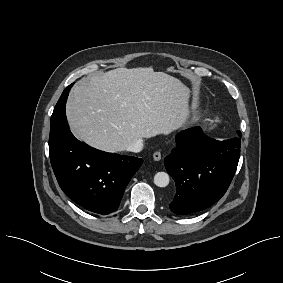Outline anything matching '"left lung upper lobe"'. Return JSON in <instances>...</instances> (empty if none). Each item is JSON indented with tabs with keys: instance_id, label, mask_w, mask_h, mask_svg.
Here are the masks:
<instances>
[{
	"instance_id": "left-lung-upper-lobe-1",
	"label": "left lung upper lobe",
	"mask_w": 283,
	"mask_h": 283,
	"mask_svg": "<svg viewBox=\"0 0 283 283\" xmlns=\"http://www.w3.org/2000/svg\"><path fill=\"white\" fill-rule=\"evenodd\" d=\"M238 135L241 136V132L240 131H238Z\"/></svg>"
}]
</instances>
